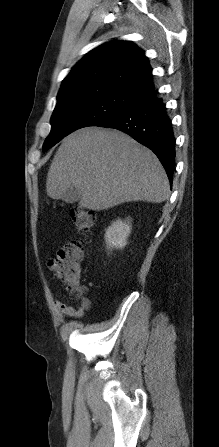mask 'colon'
I'll return each mask as SVG.
<instances>
[{
	"label": "colon",
	"instance_id": "5ec220e1",
	"mask_svg": "<svg viewBox=\"0 0 219 447\" xmlns=\"http://www.w3.org/2000/svg\"><path fill=\"white\" fill-rule=\"evenodd\" d=\"M70 217L75 228L82 233L89 232L95 222L92 212L82 208L73 209ZM83 257L84 243L71 240L58 248L49 260L55 278L67 287L73 298H80L85 293L79 267Z\"/></svg>",
	"mask_w": 219,
	"mask_h": 447
}]
</instances>
